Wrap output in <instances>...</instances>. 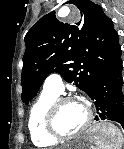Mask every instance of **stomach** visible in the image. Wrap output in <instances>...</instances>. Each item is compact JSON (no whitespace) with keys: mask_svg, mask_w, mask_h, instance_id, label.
<instances>
[{"mask_svg":"<svg viewBox=\"0 0 124 149\" xmlns=\"http://www.w3.org/2000/svg\"><path fill=\"white\" fill-rule=\"evenodd\" d=\"M102 125L103 124L96 125L85 135H83L82 137L74 141L71 145L67 146V148L65 149H94V146H93V144L95 143L94 136L99 132L100 127Z\"/></svg>","mask_w":124,"mask_h":149,"instance_id":"obj_1","label":"stomach"}]
</instances>
